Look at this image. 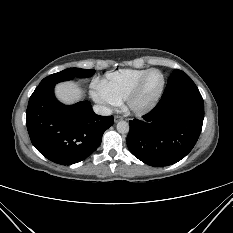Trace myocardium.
<instances>
[{
    "instance_id": "myocardium-1",
    "label": "myocardium",
    "mask_w": 233,
    "mask_h": 233,
    "mask_svg": "<svg viewBox=\"0 0 233 233\" xmlns=\"http://www.w3.org/2000/svg\"><path fill=\"white\" fill-rule=\"evenodd\" d=\"M153 72H158L161 75L162 82L158 92L155 94L153 98H151L146 103H139L138 99L142 92L144 83L146 78ZM165 76L164 74L158 69H148L137 81L131 91L125 98V108L132 114L141 116L150 112L154 107L158 104L164 89H165Z\"/></svg>"
}]
</instances>
